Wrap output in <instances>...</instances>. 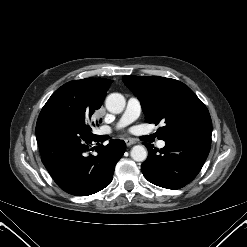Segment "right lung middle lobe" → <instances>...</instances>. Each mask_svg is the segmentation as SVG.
Here are the masks:
<instances>
[{
    "instance_id": "obj_1",
    "label": "right lung middle lobe",
    "mask_w": 247,
    "mask_h": 247,
    "mask_svg": "<svg viewBox=\"0 0 247 247\" xmlns=\"http://www.w3.org/2000/svg\"><path fill=\"white\" fill-rule=\"evenodd\" d=\"M103 100L78 81H71L57 89L42 110H52L75 118L89 127L98 124L95 112ZM101 123V120L99 121Z\"/></svg>"
}]
</instances>
